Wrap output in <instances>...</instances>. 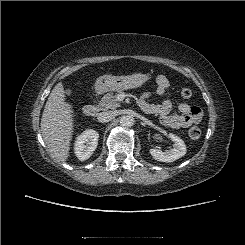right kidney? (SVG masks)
Masks as SVG:
<instances>
[{"label": "right kidney", "mask_w": 245, "mask_h": 245, "mask_svg": "<svg viewBox=\"0 0 245 245\" xmlns=\"http://www.w3.org/2000/svg\"><path fill=\"white\" fill-rule=\"evenodd\" d=\"M99 133L93 129L84 131L75 141V154L81 161H85L93 154L98 145Z\"/></svg>", "instance_id": "right-kidney-1"}]
</instances>
